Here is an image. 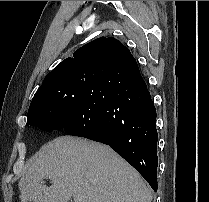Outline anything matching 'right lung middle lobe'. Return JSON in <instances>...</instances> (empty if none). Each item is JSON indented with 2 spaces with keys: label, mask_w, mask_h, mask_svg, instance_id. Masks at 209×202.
<instances>
[{
  "label": "right lung middle lobe",
  "mask_w": 209,
  "mask_h": 202,
  "mask_svg": "<svg viewBox=\"0 0 209 202\" xmlns=\"http://www.w3.org/2000/svg\"><path fill=\"white\" fill-rule=\"evenodd\" d=\"M95 77L85 73L53 77L34 95L27 118L30 126L60 130L77 113Z\"/></svg>",
  "instance_id": "1"
}]
</instances>
